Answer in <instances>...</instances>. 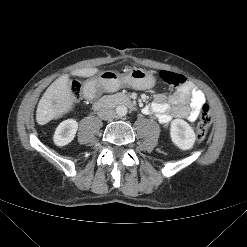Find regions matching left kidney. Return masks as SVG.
I'll use <instances>...</instances> for the list:
<instances>
[{"label": "left kidney", "mask_w": 247, "mask_h": 247, "mask_svg": "<svg viewBox=\"0 0 247 247\" xmlns=\"http://www.w3.org/2000/svg\"><path fill=\"white\" fill-rule=\"evenodd\" d=\"M172 142L181 150H189L195 142V133L192 127L182 119H174L170 125Z\"/></svg>", "instance_id": "obj_1"}]
</instances>
